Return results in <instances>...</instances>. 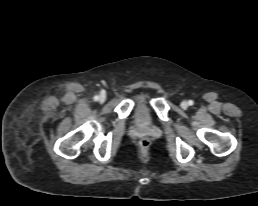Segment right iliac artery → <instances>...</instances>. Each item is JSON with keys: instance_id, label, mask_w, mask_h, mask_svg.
Wrapping results in <instances>:
<instances>
[{"instance_id": "82829eb1", "label": "right iliac artery", "mask_w": 258, "mask_h": 206, "mask_svg": "<svg viewBox=\"0 0 258 206\" xmlns=\"http://www.w3.org/2000/svg\"><path fill=\"white\" fill-rule=\"evenodd\" d=\"M99 99V96H94V100L97 101Z\"/></svg>"}]
</instances>
